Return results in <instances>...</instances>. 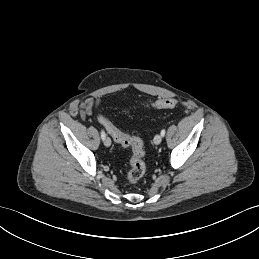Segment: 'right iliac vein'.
Returning a JSON list of instances; mask_svg holds the SVG:
<instances>
[{
	"label": "right iliac vein",
	"instance_id": "1",
	"mask_svg": "<svg viewBox=\"0 0 259 259\" xmlns=\"http://www.w3.org/2000/svg\"><path fill=\"white\" fill-rule=\"evenodd\" d=\"M104 145L107 146V147H109V146L111 145V140H110L109 137H105V139H104Z\"/></svg>",
	"mask_w": 259,
	"mask_h": 259
}]
</instances>
